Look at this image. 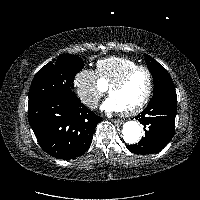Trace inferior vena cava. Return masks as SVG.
Instances as JSON below:
<instances>
[{"instance_id":"602c4592","label":"inferior vena cava","mask_w":200,"mask_h":200,"mask_svg":"<svg viewBox=\"0 0 200 200\" xmlns=\"http://www.w3.org/2000/svg\"><path fill=\"white\" fill-rule=\"evenodd\" d=\"M83 102L90 108H96L98 106V99L97 98H86Z\"/></svg>"}]
</instances>
